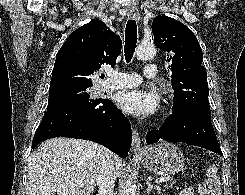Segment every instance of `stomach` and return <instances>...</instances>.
Returning <instances> with one entry per match:
<instances>
[{
  "label": "stomach",
  "mask_w": 245,
  "mask_h": 195,
  "mask_svg": "<svg viewBox=\"0 0 245 195\" xmlns=\"http://www.w3.org/2000/svg\"><path fill=\"white\" fill-rule=\"evenodd\" d=\"M138 155L144 167L159 176L174 175L184 168L183 153L172 143L145 147Z\"/></svg>",
  "instance_id": "0dacf381"
}]
</instances>
